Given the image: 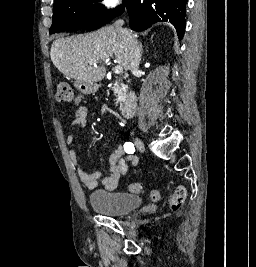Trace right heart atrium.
I'll return each mask as SVG.
<instances>
[{"label": "right heart atrium", "instance_id": "right-heart-atrium-1", "mask_svg": "<svg viewBox=\"0 0 256 267\" xmlns=\"http://www.w3.org/2000/svg\"><path fill=\"white\" fill-rule=\"evenodd\" d=\"M105 56H110L111 54H104Z\"/></svg>", "mask_w": 256, "mask_h": 267}]
</instances>
